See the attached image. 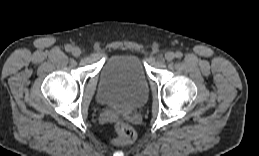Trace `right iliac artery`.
<instances>
[{"label": "right iliac artery", "instance_id": "82829eb1", "mask_svg": "<svg viewBox=\"0 0 259 156\" xmlns=\"http://www.w3.org/2000/svg\"><path fill=\"white\" fill-rule=\"evenodd\" d=\"M65 50H66L67 52H70V51L72 50V46H71V45H66V46H65Z\"/></svg>", "mask_w": 259, "mask_h": 156}]
</instances>
